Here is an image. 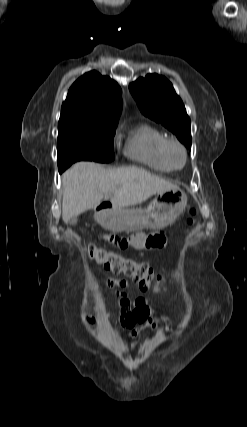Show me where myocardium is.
<instances>
[{
  "mask_svg": "<svg viewBox=\"0 0 247 427\" xmlns=\"http://www.w3.org/2000/svg\"><path fill=\"white\" fill-rule=\"evenodd\" d=\"M178 149L182 154V159L180 162H175L172 157V151ZM163 155L167 163L172 169L182 168L187 161V151L184 145L175 138H167L163 145Z\"/></svg>",
  "mask_w": 247,
  "mask_h": 427,
  "instance_id": "1",
  "label": "myocardium"
}]
</instances>
